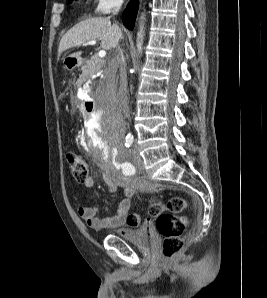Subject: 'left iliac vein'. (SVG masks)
<instances>
[{
    "instance_id": "left-iliac-vein-1",
    "label": "left iliac vein",
    "mask_w": 267,
    "mask_h": 298,
    "mask_svg": "<svg viewBox=\"0 0 267 298\" xmlns=\"http://www.w3.org/2000/svg\"><path fill=\"white\" fill-rule=\"evenodd\" d=\"M134 159L138 162V163H142V158L139 156L138 151L136 149V146L134 148Z\"/></svg>"
}]
</instances>
